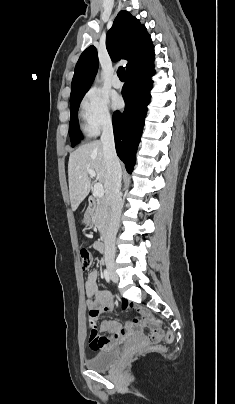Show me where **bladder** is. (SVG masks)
I'll use <instances>...</instances> for the list:
<instances>
[{"label":"bladder","instance_id":"31cf9c89","mask_svg":"<svg viewBox=\"0 0 235 404\" xmlns=\"http://www.w3.org/2000/svg\"><path fill=\"white\" fill-rule=\"evenodd\" d=\"M121 357L119 347H102L99 351L86 361V365L94 371H107Z\"/></svg>","mask_w":235,"mask_h":404}]
</instances>
